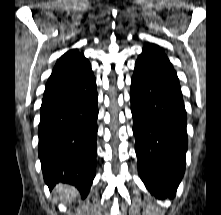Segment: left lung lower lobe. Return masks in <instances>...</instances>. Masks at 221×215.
Listing matches in <instances>:
<instances>
[{
	"mask_svg": "<svg viewBox=\"0 0 221 215\" xmlns=\"http://www.w3.org/2000/svg\"><path fill=\"white\" fill-rule=\"evenodd\" d=\"M138 172L149 192L173 198L186 164V111L176 71L157 45L143 48L131 82Z\"/></svg>",
	"mask_w": 221,
	"mask_h": 215,
	"instance_id": "1",
	"label": "left lung lower lobe"
}]
</instances>
